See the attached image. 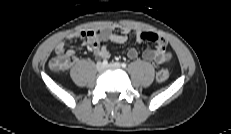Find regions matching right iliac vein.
Instances as JSON below:
<instances>
[{
    "mask_svg": "<svg viewBox=\"0 0 231 134\" xmlns=\"http://www.w3.org/2000/svg\"><path fill=\"white\" fill-rule=\"evenodd\" d=\"M96 69H97V71H102L104 69V65L102 63L98 62L96 64Z\"/></svg>",
    "mask_w": 231,
    "mask_h": 134,
    "instance_id": "63e3f726",
    "label": "right iliac vein"
}]
</instances>
